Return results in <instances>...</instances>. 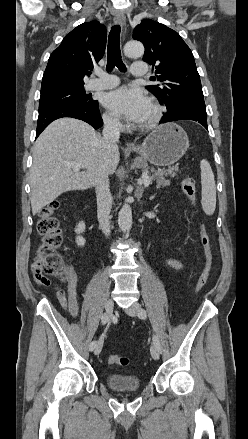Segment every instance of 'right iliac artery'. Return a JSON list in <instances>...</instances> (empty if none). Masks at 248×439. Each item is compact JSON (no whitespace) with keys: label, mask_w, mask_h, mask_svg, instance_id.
I'll return each mask as SVG.
<instances>
[{"label":"right iliac artery","mask_w":248,"mask_h":439,"mask_svg":"<svg viewBox=\"0 0 248 439\" xmlns=\"http://www.w3.org/2000/svg\"><path fill=\"white\" fill-rule=\"evenodd\" d=\"M101 322H102V324H106L108 322V316L106 314L102 315ZM96 345H97L96 341L91 342L90 350H93Z\"/></svg>","instance_id":"obj_1"}]
</instances>
